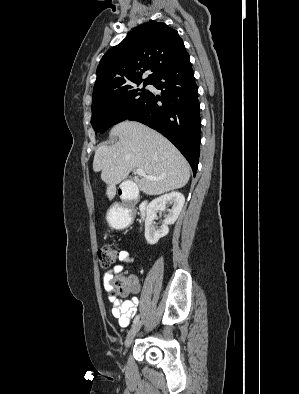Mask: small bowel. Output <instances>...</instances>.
I'll return each mask as SVG.
<instances>
[{"label":"small bowel","mask_w":299,"mask_h":394,"mask_svg":"<svg viewBox=\"0 0 299 394\" xmlns=\"http://www.w3.org/2000/svg\"><path fill=\"white\" fill-rule=\"evenodd\" d=\"M117 214L121 215L122 206L116 207ZM118 257L120 261L124 262H133V257L129 254L128 251L122 249L118 253ZM124 270L122 265H117L110 272H107L103 276V287L107 292V298L110 304L112 305V315L118 320V324L120 327L125 328L129 325L132 318L135 316L139 304V299L137 297H133L128 300H119L114 295L110 293L111 288L109 282L113 278V274L120 273ZM133 279V287L131 293L137 294L140 291V284L138 281V277L136 275L130 276Z\"/></svg>","instance_id":"obj_1"}]
</instances>
